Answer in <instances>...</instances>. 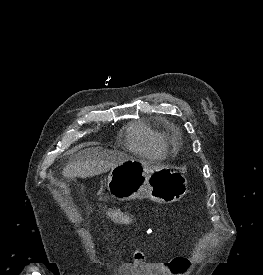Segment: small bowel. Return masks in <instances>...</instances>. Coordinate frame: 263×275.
I'll return each mask as SVG.
<instances>
[{
    "label": "small bowel",
    "instance_id": "c3829d8e",
    "mask_svg": "<svg viewBox=\"0 0 263 275\" xmlns=\"http://www.w3.org/2000/svg\"><path fill=\"white\" fill-rule=\"evenodd\" d=\"M152 236L154 238H159L160 237V233L158 232H153L152 233ZM145 261V254L139 250V249H136L135 252H134V262L137 266L141 265L143 262ZM168 267L172 270V267L170 265V263L167 264ZM188 266H186L184 269L181 270V272L185 271L187 269Z\"/></svg>",
    "mask_w": 263,
    "mask_h": 275
}]
</instances>
